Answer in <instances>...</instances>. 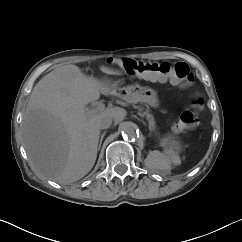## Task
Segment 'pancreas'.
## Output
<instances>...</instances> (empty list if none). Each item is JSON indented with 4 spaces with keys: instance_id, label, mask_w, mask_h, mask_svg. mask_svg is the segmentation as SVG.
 Wrapping results in <instances>:
<instances>
[{
    "instance_id": "obj_1",
    "label": "pancreas",
    "mask_w": 242,
    "mask_h": 242,
    "mask_svg": "<svg viewBox=\"0 0 242 242\" xmlns=\"http://www.w3.org/2000/svg\"><path fill=\"white\" fill-rule=\"evenodd\" d=\"M140 116L144 117L146 116L147 120L149 121V125L151 129H154V118L151 114H149L148 112H143V113H139Z\"/></svg>"
}]
</instances>
